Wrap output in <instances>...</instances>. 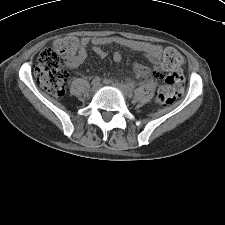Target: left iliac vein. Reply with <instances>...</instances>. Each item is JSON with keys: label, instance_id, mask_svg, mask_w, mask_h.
Here are the masks:
<instances>
[{"label": "left iliac vein", "instance_id": "obj_1", "mask_svg": "<svg viewBox=\"0 0 225 225\" xmlns=\"http://www.w3.org/2000/svg\"><path fill=\"white\" fill-rule=\"evenodd\" d=\"M112 84L114 87L120 90L126 98L129 97V88L127 85L119 83V82H113Z\"/></svg>", "mask_w": 225, "mask_h": 225}]
</instances>
